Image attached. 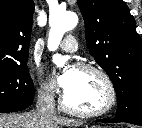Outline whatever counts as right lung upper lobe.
<instances>
[{
    "instance_id": "cb5924a9",
    "label": "right lung upper lobe",
    "mask_w": 142,
    "mask_h": 128,
    "mask_svg": "<svg viewBox=\"0 0 142 128\" xmlns=\"http://www.w3.org/2000/svg\"><path fill=\"white\" fill-rule=\"evenodd\" d=\"M33 12L32 0L0 1V67L27 64Z\"/></svg>"
}]
</instances>
